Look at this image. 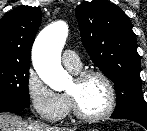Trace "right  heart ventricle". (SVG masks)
I'll return each instance as SVG.
<instances>
[{
  "instance_id": "right-heart-ventricle-1",
  "label": "right heart ventricle",
  "mask_w": 147,
  "mask_h": 131,
  "mask_svg": "<svg viewBox=\"0 0 147 131\" xmlns=\"http://www.w3.org/2000/svg\"><path fill=\"white\" fill-rule=\"evenodd\" d=\"M78 72V71H77ZM66 96V95H65ZM67 97V96H66ZM68 101H69V98L67 97ZM69 107H70V101H69Z\"/></svg>"
}]
</instances>
